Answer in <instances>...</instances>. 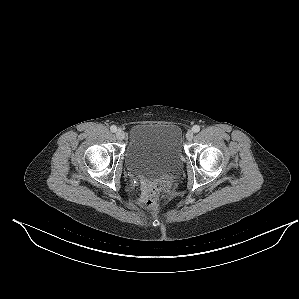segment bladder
I'll list each match as a JSON object with an SVG mask.
<instances>
[{"label": "bladder", "instance_id": "1", "mask_svg": "<svg viewBox=\"0 0 299 299\" xmlns=\"http://www.w3.org/2000/svg\"><path fill=\"white\" fill-rule=\"evenodd\" d=\"M181 130L175 124L143 123L131 131L125 154L127 168L138 175L163 177L181 167Z\"/></svg>", "mask_w": 299, "mask_h": 299}]
</instances>
